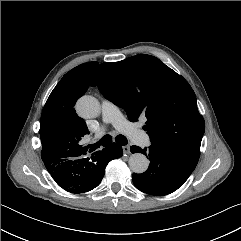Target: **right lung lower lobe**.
<instances>
[{"label":"right lung lower lobe","instance_id":"right-lung-lower-lobe-1","mask_svg":"<svg viewBox=\"0 0 241 241\" xmlns=\"http://www.w3.org/2000/svg\"><path fill=\"white\" fill-rule=\"evenodd\" d=\"M122 154V147L113 143L91 155L88 152H82L59 159L44 156L42 160L61 188L77 194L97 187L104 176L106 165L111 160L121 157Z\"/></svg>","mask_w":241,"mask_h":241}]
</instances>
